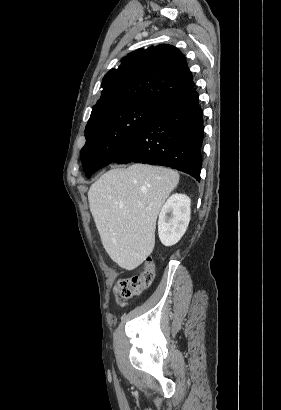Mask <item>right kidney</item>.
Segmentation results:
<instances>
[{"label": "right kidney", "instance_id": "right-kidney-1", "mask_svg": "<svg viewBox=\"0 0 281 410\" xmlns=\"http://www.w3.org/2000/svg\"><path fill=\"white\" fill-rule=\"evenodd\" d=\"M190 204L187 195L175 193L163 205L158 220V234L163 245L176 244L186 232L190 221Z\"/></svg>", "mask_w": 281, "mask_h": 410}]
</instances>
